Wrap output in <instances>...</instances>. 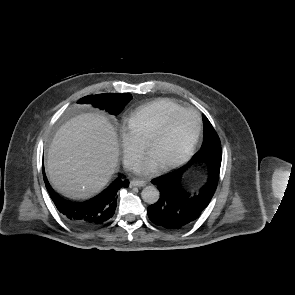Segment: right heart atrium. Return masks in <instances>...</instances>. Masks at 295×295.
<instances>
[{"label":"right heart atrium","instance_id":"1","mask_svg":"<svg viewBox=\"0 0 295 295\" xmlns=\"http://www.w3.org/2000/svg\"><path fill=\"white\" fill-rule=\"evenodd\" d=\"M120 140L124 162L129 169H134L142 157L144 146L128 129L120 131Z\"/></svg>","mask_w":295,"mask_h":295}]
</instances>
